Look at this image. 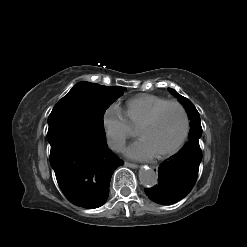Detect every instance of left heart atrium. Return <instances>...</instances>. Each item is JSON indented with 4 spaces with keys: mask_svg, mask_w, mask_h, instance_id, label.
I'll return each mask as SVG.
<instances>
[{
    "mask_svg": "<svg viewBox=\"0 0 247 247\" xmlns=\"http://www.w3.org/2000/svg\"><path fill=\"white\" fill-rule=\"evenodd\" d=\"M126 155L133 159L145 160L152 158L155 153L144 139L139 138L127 148Z\"/></svg>",
    "mask_w": 247,
    "mask_h": 247,
    "instance_id": "obj_1",
    "label": "left heart atrium"
}]
</instances>
